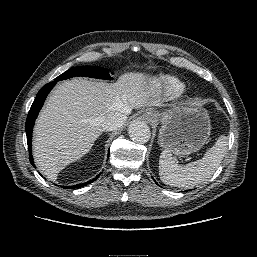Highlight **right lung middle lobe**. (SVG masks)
I'll return each instance as SVG.
<instances>
[{"label": "right lung middle lobe", "instance_id": "right-lung-middle-lobe-1", "mask_svg": "<svg viewBox=\"0 0 257 257\" xmlns=\"http://www.w3.org/2000/svg\"><path fill=\"white\" fill-rule=\"evenodd\" d=\"M75 76H85L98 79H112L108 70L98 66L73 67L58 76L55 81H61Z\"/></svg>", "mask_w": 257, "mask_h": 257}]
</instances>
